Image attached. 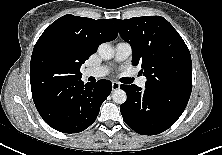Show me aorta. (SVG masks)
Masks as SVG:
<instances>
[{"instance_id": "1", "label": "aorta", "mask_w": 222, "mask_h": 155, "mask_svg": "<svg viewBox=\"0 0 222 155\" xmlns=\"http://www.w3.org/2000/svg\"><path fill=\"white\" fill-rule=\"evenodd\" d=\"M98 53L101 58L109 60L114 56V49L110 44L102 43L98 47ZM112 99L117 104H123L127 99L126 92L122 89H116L112 93Z\"/></svg>"}]
</instances>
